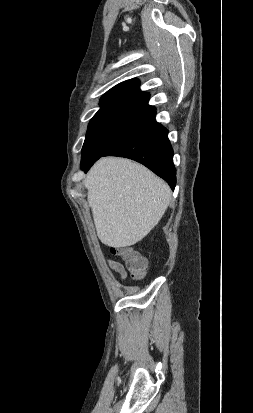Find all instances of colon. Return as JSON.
Listing matches in <instances>:
<instances>
[{
  "instance_id": "obj_1",
  "label": "colon",
  "mask_w": 253,
  "mask_h": 413,
  "mask_svg": "<svg viewBox=\"0 0 253 413\" xmlns=\"http://www.w3.org/2000/svg\"><path fill=\"white\" fill-rule=\"evenodd\" d=\"M110 251L123 259L128 272L133 278L142 279L145 276L147 269L146 260L136 251L129 247H111Z\"/></svg>"
}]
</instances>
